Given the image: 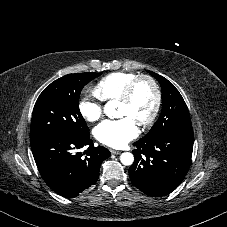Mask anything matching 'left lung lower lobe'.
Returning <instances> with one entry per match:
<instances>
[{"label": "left lung lower lobe", "instance_id": "obj_1", "mask_svg": "<svg viewBox=\"0 0 227 227\" xmlns=\"http://www.w3.org/2000/svg\"><path fill=\"white\" fill-rule=\"evenodd\" d=\"M193 143V132L136 141L135 160L129 168L132 184L152 197L170 194L189 170Z\"/></svg>", "mask_w": 227, "mask_h": 227}]
</instances>
